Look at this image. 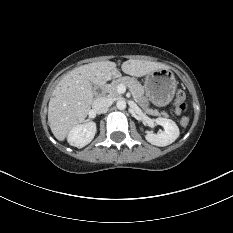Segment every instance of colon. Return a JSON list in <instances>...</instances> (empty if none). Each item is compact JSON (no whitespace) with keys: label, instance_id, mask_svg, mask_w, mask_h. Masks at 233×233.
<instances>
[{"label":"colon","instance_id":"1","mask_svg":"<svg viewBox=\"0 0 233 233\" xmlns=\"http://www.w3.org/2000/svg\"><path fill=\"white\" fill-rule=\"evenodd\" d=\"M175 105L178 111L182 113H185L187 111L188 104L186 101V95L184 91L180 88H177L175 93ZM180 122L182 126H187L189 124V119L188 117L183 116Z\"/></svg>","mask_w":233,"mask_h":233}]
</instances>
